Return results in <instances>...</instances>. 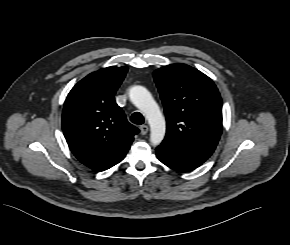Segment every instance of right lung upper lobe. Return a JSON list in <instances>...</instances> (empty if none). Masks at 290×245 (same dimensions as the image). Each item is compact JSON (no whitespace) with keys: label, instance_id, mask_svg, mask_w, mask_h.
Here are the masks:
<instances>
[{"label":"right lung upper lobe","instance_id":"obj_1","mask_svg":"<svg viewBox=\"0 0 290 245\" xmlns=\"http://www.w3.org/2000/svg\"><path fill=\"white\" fill-rule=\"evenodd\" d=\"M127 67H107L78 82L68 94L62 128L76 158L95 171L122 161L139 130L116 104L114 95Z\"/></svg>","mask_w":290,"mask_h":245}]
</instances>
